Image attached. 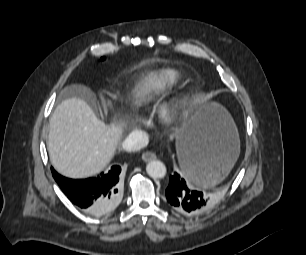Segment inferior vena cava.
I'll list each match as a JSON object with an SVG mask.
<instances>
[{
  "mask_svg": "<svg viewBox=\"0 0 306 255\" xmlns=\"http://www.w3.org/2000/svg\"><path fill=\"white\" fill-rule=\"evenodd\" d=\"M148 144V136L139 130L131 132L123 142L126 151H138Z\"/></svg>",
  "mask_w": 306,
  "mask_h": 255,
  "instance_id": "602c4592",
  "label": "inferior vena cava"
}]
</instances>
